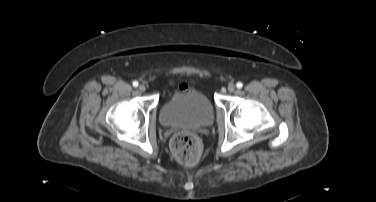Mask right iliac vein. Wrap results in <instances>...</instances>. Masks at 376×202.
Wrapping results in <instances>:
<instances>
[{
  "label": "right iliac vein",
  "mask_w": 376,
  "mask_h": 202,
  "mask_svg": "<svg viewBox=\"0 0 376 202\" xmlns=\"http://www.w3.org/2000/svg\"><path fill=\"white\" fill-rule=\"evenodd\" d=\"M138 90L140 92H144L146 90V87L144 85H139Z\"/></svg>",
  "instance_id": "right-iliac-vein-1"
}]
</instances>
